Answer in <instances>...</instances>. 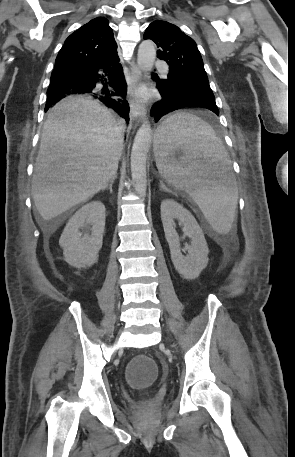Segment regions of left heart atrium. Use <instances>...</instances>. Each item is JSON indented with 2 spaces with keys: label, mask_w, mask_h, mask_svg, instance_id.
Segmentation results:
<instances>
[{
  "label": "left heart atrium",
  "mask_w": 295,
  "mask_h": 457,
  "mask_svg": "<svg viewBox=\"0 0 295 457\" xmlns=\"http://www.w3.org/2000/svg\"><path fill=\"white\" fill-rule=\"evenodd\" d=\"M140 96H141V97H144V96H145V93H144V92H141V93H140Z\"/></svg>",
  "instance_id": "obj_1"
}]
</instances>
